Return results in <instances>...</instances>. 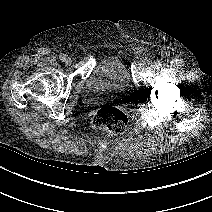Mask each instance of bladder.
<instances>
[{"label": "bladder", "instance_id": "bladder-1", "mask_svg": "<svg viewBox=\"0 0 212 212\" xmlns=\"http://www.w3.org/2000/svg\"><path fill=\"white\" fill-rule=\"evenodd\" d=\"M132 89L129 71L117 56L100 63L90 74L81 93L86 105H93L106 97L125 98Z\"/></svg>", "mask_w": 212, "mask_h": 212}]
</instances>
